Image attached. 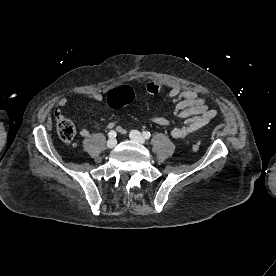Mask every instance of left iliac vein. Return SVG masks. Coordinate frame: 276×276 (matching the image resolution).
<instances>
[{
    "mask_svg": "<svg viewBox=\"0 0 276 276\" xmlns=\"http://www.w3.org/2000/svg\"><path fill=\"white\" fill-rule=\"evenodd\" d=\"M131 140L135 141V142H138L140 144H144L145 143V139L144 137L142 136V134L137 131V130H132L130 131V134H129Z\"/></svg>",
    "mask_w": 276,
    "mask_h": 276,
    "instance_id": "left-iliac-vein-1",
    "label": "left iliac vein"
}]
</instances>
